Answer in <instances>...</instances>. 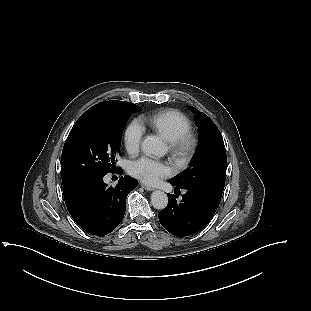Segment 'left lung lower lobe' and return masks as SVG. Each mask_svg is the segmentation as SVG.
I'll return each mask as SVG.
<instances>
[{"label":"left lung lower lobe","mask_w":311,"mask_h":311,"mask_svg":"<svg viewBox=\"0 0 311 311\" xmlns=\"http://www.w3.org/2000/svg\"><path fill=\"white\" fill-rule=\"evenodd\" d=\"M175 186L176 191L181 187ZM186 189L180 202L176 196L168 194V205L159 213L161 225L171 234L178 237H185L202 230L211 220L220 200L193 188Z\"/></svg>","instance_id":"1"}]
</instances>
